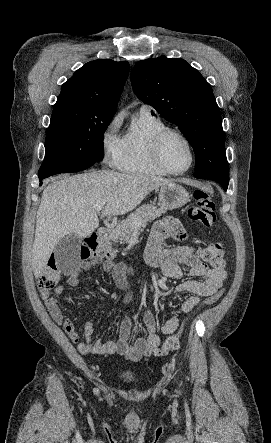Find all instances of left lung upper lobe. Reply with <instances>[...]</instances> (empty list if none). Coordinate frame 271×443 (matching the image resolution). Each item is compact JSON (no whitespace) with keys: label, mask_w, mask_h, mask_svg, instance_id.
<instances>
[{"label":"left lung upper lobe","mask_w":271,"mask_h":443,"mask_svg":"<svg viewBox=\"0 0 271 443\" xmlns=\"http://www.w3.org/2000/svg\"><path fill=\"white\" fill-rule=\"evenodd\" d=\"M131 84L140 100L182 129L196 154L195 177L214 180L226 191L222 119L211 86L199 71L181 58H150L135 64Z\"/></svg>","instance_id":"1"}]
</instances>
